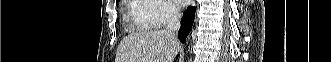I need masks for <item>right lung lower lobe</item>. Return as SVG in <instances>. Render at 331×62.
<instances>
[{"mask_svg": "<svg viewBox=\"0 0 331 62\" xmlns=\"http://www.w3.org/2000/svg\"><path fill=\"white\" fill-rule=\"evenodd\" d=\"M195 7L190 6L183 14L181 28L178 32L179 40L184 43L194 22Z\"/></svg>", "mask_w": 331, "mask_h": 62, "instance_id": "98d812e1", "label": "right lung lower lobe"}]
</instances>
